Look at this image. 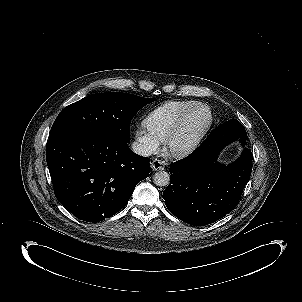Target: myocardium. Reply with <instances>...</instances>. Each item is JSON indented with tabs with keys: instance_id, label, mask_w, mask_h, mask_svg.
<instances>
[{
	"instance_id": "obj_1",
	"label": "myocardium",
	"mask_w": 302,
	"mask_h": 302,
	"mask_svg": "<svg viewBox=\"0 0 302 302\" xmlns=\"http://www.w3.org/2000/svg\"><path fill=\"white\" fill-rule=\"evenodd\" d=\"M197 110H205L207 112V120L204 124V126L201 128V130L198 132V134L186 145L175 148L172 146V139L176 132L179 130L183 122L188 118L190 115L195 113ZM212 123V112L209 106L205 104H196L191 109L183 113L179 119L176 121V123L173 125V127L170 129L168 134L165 137L164 140V150L165 152L172 156V157H182L188 153H190L192 150H194L197 145L201 142L205 134L207 133L210 125Z\"/></svg>"
}]
</instances>
